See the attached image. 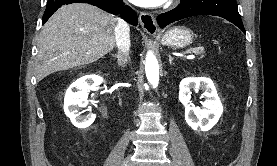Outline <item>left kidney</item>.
Masks as SVG:
<instances>
[{"label": "left kidney", "instance_id": "5707ae66", "mask_svg": "<svg viewBox=\"0 0 277 166\" xmlns=\"http://www.w3.org/2000/svg\"><path fill=\"white\" fill-rule=\"evenodd\" d=\"M179 100L185 106V120L195 131H208L219 120L223 106L218 97L214 83L209 78H185L180 82ZM201 89L206 97L203 108L191 106V90Z\"/></svg>", "mask_w": 277, "mask_h": 166}]
</instances>
